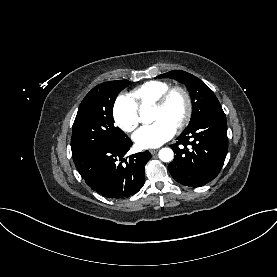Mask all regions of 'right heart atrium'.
Masks as SVG:
<instances>
[{
	"label": "right heart atrium",
	"mask_w": 277,
	"mask_h": 277,
	"mask_svg": "<svg viewBox=\"0 0 277 277\" xmlns=\"http://www.w3.org/2000/svg\"><path fill=\"white\" fill-rule=\"evenodd\" d=\"M112 115L115 123L126 132H132L139 123L138 108L126 94H121L115 99Z\"/></svg>",
	"instance_id": "obj_1"
}]
</instances>
